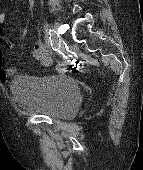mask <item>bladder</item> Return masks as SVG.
I'll return each instance as SVG.
<instances>
[{
	"label": "bladder",
	"mask_w": 143,
	"mask_h": 170,
	"mask_svg": "<svg viewBox=\"0 0 143 170\" xmlns=\"http://www.w3.org/2000/svg\"><path fill=\"white\" fill-rule=\"evenodd\" d=\"M18 105L55 119H70L80 107L81 90L67 74L18 75L11 81Z\"/></svg>",
	"instance_id": "1"
}]
</instances>
